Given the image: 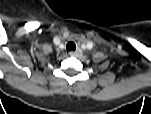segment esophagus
<instances>
[{"label":"esophagus","instance_id":"34e87169","mask_svg":"<svg viewBox=\"0 0 151 114\" xmlns=\"http://www.w3.org/2000/svg\"><path fill=\"white\" fill-rule=\"evenodd\" d=\"M81 54H82V51L80 49H77L76 51H72L69 53L70 56H74V57L79 56Z\"/></svg>","mask_w":151,"mask_h":114}]
</instances>
